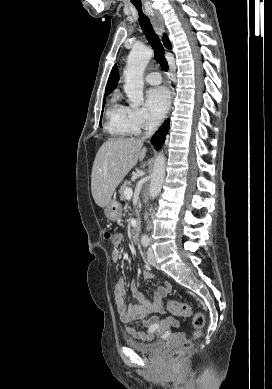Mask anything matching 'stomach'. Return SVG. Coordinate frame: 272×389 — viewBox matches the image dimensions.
<instances>
[{"label": "stomach", "instance_id": "stomach-1", "mask_svg": "<svg viewBox=\"0 0 272 389\" xmlns=\"http://www.w3.org/2000/svg\"><path fill=\"white\" fill-rule=\"evenodd\" d=\"M105 216L111 221H117L122 216V206L115 199H111L104 209Z\"/></svg>", "mask_w": 272, "mask_h": 389}]
</instances>
